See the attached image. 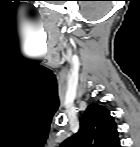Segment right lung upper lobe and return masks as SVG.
Segmentation results:
<instances>
[{
    "label": "right lung upper lobe",
    "mask_w": 140,
    "mask_h": 147,
    "mask_svg": "<svg viewBox=\"0 0 140 147\" xmlns=\"http://www.w3.org/2000/svg\"><path fill=\"white\" fill-rule=\"evenodd\" d=\"M61 147H120L117 126L109 110L97 103L89 105L79 131Z\"/></svg>",
    "instance_id": "cb5924a9"
}]
</instances>
